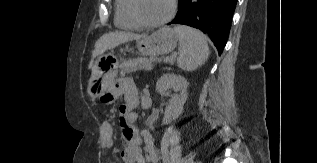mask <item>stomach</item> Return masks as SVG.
Wrapping results in <instances>:
<instances>
[{
    "label": "stomach",
    "instance_id": "0dacf381",
    "mask_svg": "<svg viewBox=\"0 0 317 163\" xmlns=\"http://www.w3.org/2000/svg\"><path fill=\"white\" fill-rule=\"evenodd\" d=\"M178 41L176 31L170 27H163L151 35L137 41V49L143 56H155L172 52ZM116 65L102 61L100 57L92 70L87 92L92 99L100 98L116 75Z\"/></svg>",
    "mask_w": 317,
    "mask_h": 163
}]
</instances>
